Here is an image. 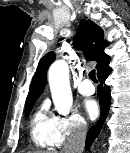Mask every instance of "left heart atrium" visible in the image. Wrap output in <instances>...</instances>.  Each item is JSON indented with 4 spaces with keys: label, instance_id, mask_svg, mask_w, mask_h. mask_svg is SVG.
Here are the masks:
<instances>
[{
    "label": "left heart atrium",
    "instance_id": "obj_1",
    "mask_svg": "<svg viewBox=\"0 0 130 153\" xmlns=\"http://www.w3.org/2000/svg\"><path fill=\"white\" fill-rule=\"evenodd\" d=\"M83 109L87 116L91 119L95 118L98 114V105L93 99H86L83 102Z\"/></svg>",
    "mask_w": 130,
    "mask_h": 153
}]
</instances>
